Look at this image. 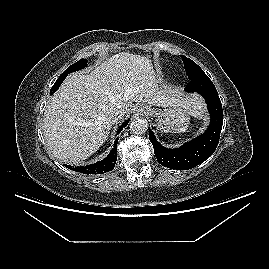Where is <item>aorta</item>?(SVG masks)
<instances>
[{
  "label": "aorta",
  "instance_id": "obj_1",
  "mask_svg": "<svg viewBox=\"0 0 269 269\" xmlns=\"http://www.w3.org/2000/svg\"><path fill=\"white\" fill-rule=\"evenodd\" d=\"M130 130L134 134H144L148 130V122L144 118H134L130 123Z\"/></svg>",
  "mask_w": 269,
  "mask_h": 269
}]
</instances>
